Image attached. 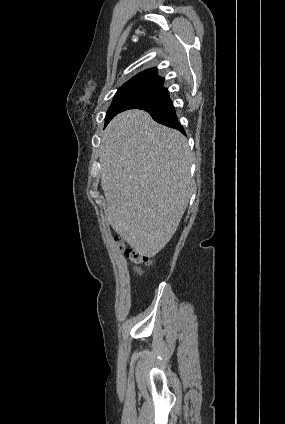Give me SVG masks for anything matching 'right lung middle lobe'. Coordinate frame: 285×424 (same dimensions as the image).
<instances>
[{"mask_svg": "<svg viewBox=\"0 0 285 424\" xmlns=\"http://www.w3.org/2000/svg\"><path fill=\"white\" fill-rule=\"evenodd\" d=\"M162 88L163 85L161 84H134L120 87L106 113L105 125H107L115 115L124 111L133 101L151 95Z\"/></svg>", "mask_w": 285, "mask_h": 424, "instance_id": "obj_1", "label": "right lung middle lobe"}]
</instances>
